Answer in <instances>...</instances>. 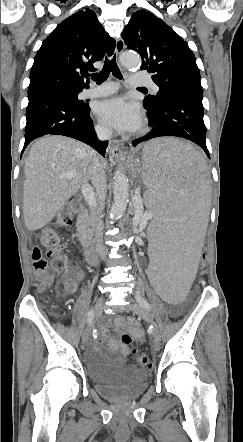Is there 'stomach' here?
<instances>
[{
	"label": "stomach",
	"instance_id": "1",
	"mask_svg": "<svg viewBox=\"0 0 243 442\" xmlns=\"http://www.w3.org/2000/svg\"><path fill=\"white\" fill-rule=\"evenodd\" d=\"M137 165H141L140 164V160L138 158H132L130 159V169H131V174L135 176V171H136V167Z\"/></svg>",
	"mask_w": 243,
	"mask_h": 442
}]
</instances>
